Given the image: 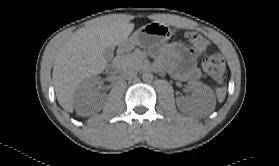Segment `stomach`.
Masks as SVG:
<instances>
[{
	"label": "stomach",
	"mask_w": 279,
	"mask_h": 166,
	"mask_svg": "<svg viewBox=\"0 0 279 166\" xmlns=\"http://www.w3.org/2000/svg\"><path fill=\"white\" fill-rule=\"evenodd\" d=\"M173 35L169 26L153 22L142 26L130 37L121 43V48L129 51L139 46L141 48H154L168 41Z\"/></svg>",
	"instance_id": "1"
}]
</instances>
